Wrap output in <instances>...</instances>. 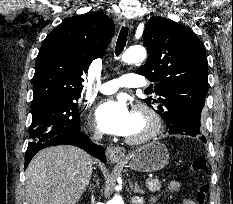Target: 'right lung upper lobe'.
<instances>
[{
  "label": "right lung upper lobe",
  "mask_w": 233,
  "mask_h": 204,
  "mask_svg": "<svg viewBox=\"0 0 233 204\" xmlns=\"http://www.w3.org/2000/svg\"><path fill=\"white\" fill-rule=\"evenodd\" d=\"M113 33L114 23L100 12L71 17L51 31L36 59L32 105L78 99L82 75L104 53Z\"/></svg>",
  "instance_id": "cb5924a9"
}]
</instances>
